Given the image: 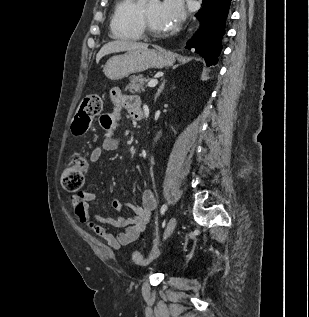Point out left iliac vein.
<instances>
[{
  "label": "left iliac vein",
  "instance_id": "4c4485c4",
  "mask_svg": "<svg viewBox=\"0 0 309 317\" xmlns=\"http://www.w3.org/2000/svg\"><path fill=\"white\" fill-rule=\"evenodd\" d=\"M176 224H177V219L176 217H172L167 226H166V229L164 231V234H163V240L167 239L171 234L172 232L174 231L175 227H176Z\"/></svg>",
  "mask_w": 309,
  "mask_h": 317
}]
</instances>
